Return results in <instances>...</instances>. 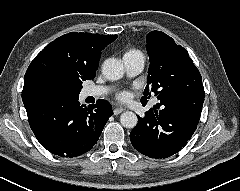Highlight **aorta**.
I'll list each match as a JSON object with an SVG mask.
<instances>
[{
  "mask_svg": "<svg viewBox=\"0 0 240 191\" xmlns=\"http://www.w3.org/2000/svg\"><path fill=\"white\" fill-rule=\"evenodd\" d=\"M102 73L106 79L116 81L123 77L124 66L118 59L109 58L102 65ZM120 122L125 128L131 129L136 126L138 118L135 113L126 111L121 114Z\"/></svg>",
  "mask_w": 240,
  "mask_h": 191,
  "instance_id": "aorta-1",
  "label": "aorta"
}]
</instances>
